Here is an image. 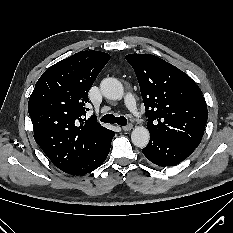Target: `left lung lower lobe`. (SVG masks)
<instances>
[{
  "label": "left lung lower lobe",
  "mask_w": 233,
  "mask_h": 233,
  "mask_svg": "<svg viewBox=\"0 0 233 233\" xmlns=\"http://www.w3.org/2000/svg\"><path fill=\"white\" fill-rule=\"evenodd\" d=\"M196 147L189 144L150 134V142L142 149L152 163L165 167L173 166L186 159Z\"/></svg>",
  "instance_id": "0a47b994"
}]
</instances>
